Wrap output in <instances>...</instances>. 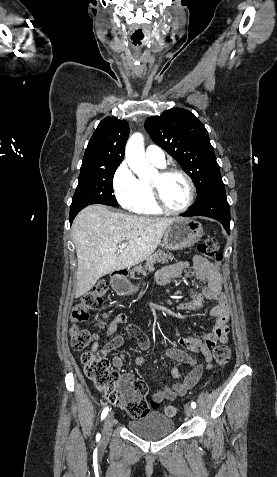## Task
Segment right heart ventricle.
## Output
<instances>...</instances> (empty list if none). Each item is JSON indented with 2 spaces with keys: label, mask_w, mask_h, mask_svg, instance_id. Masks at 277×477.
Returning <instances> with one entry per match:
<instances>
[{
  "label": "right heart ventricle",
  "mask_w": 277,
  "mask_h": 477,
  "mask_svg": "<svg viewBox=\"0 0 277 477\" xmlns=\"http://www.w3.org/2000/svg\"><path fill=\"white\" fill-rule=\"evenodd\" d=\"M129 209L134 213L145 216L161 214L162 211L156 206L153 200L150 182L147 180H138V195Z\"/></svg>",
  "instance_id": "right-heart-ventricle-1"
}]
</instances>
